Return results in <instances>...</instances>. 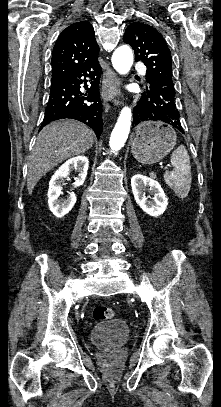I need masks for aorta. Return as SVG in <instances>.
I'll return each mask as SVG.
<instances>
[{"mask_svg": "<svg viewBox=\"0 0 221 407\" xmlns=\"http://www.w3.org/2000/svg\"><path fill=\"white\" fill-rule=\"evenodd\" d=\"M112 64L114 69L120 74H127L133 64V53L128 45L118 47L112 55ZM132 112L129 107L121 110L116 125L111 133L109 146L112 151L120 150L129 135L131 127Z\"/></svg>", "mask_w": 221, "mask_h": 407, "instance_id": "aorta-1", "label": "aorta"}]
</instances>
